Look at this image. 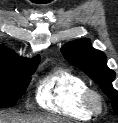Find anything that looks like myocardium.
<instances>
[{
	"instance_id": "obj_1",
	"label": "myocardium",
	"mask_w": 118,
	"mask_h": 123,
	"mask_svg": "<svg viewBox=\"0 0 118 123\" xmlns=\"http://www.w3.org/2000/svg\"><path fill=\"white\" fill-rule=\"evenodd\" d=\"M82 103L83 107L93 115L100 114L104 108L102 95L98 91L90 88L83 94Z\"/></svg>"
}]
</instances>
